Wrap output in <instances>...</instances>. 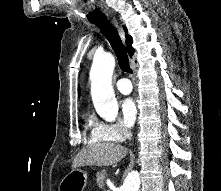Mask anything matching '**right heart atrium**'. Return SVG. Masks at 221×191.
I'll return each instance as SVG.
<instances>
[{"label":"right heart atrium","mask_w":221,"mask_h":191,"mask_svg":"<svg viewBox=\"0 0 221 191\" xmlns=\"http://www.w3.org/2000/svg\"><path fill=\"white\" fill-rule=\"evenodd\" d=\"M131 134L130 129L122 122H97L92 129L95 140L124 142Z\"/></svg>","instance_id":"right-heart-atrium-1"}]
</instances>
